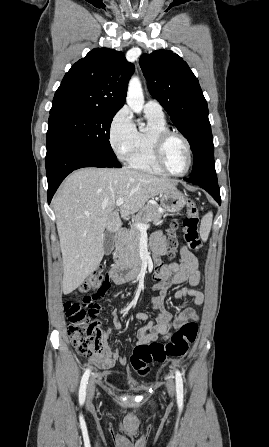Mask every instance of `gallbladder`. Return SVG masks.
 Listing matches in <instances>:
<instances>
[{"instance_id":"obj_1","label":"gallbladder","mask_w":269,"mask_h":447,"mask_svg":"<svg viewBox=\"0 0 269 447\" xmlns=\"http://www.w3.org/2000/svg\"><path fill=\"white\" fill-rule=\"evenodd\" d=\"M113 247H114V235L113 233H111V231H105L104 243H103L104 253H106V255H109Z\"/></svg>"}]
</instances>
